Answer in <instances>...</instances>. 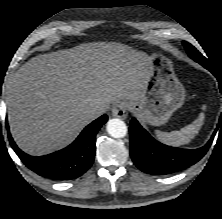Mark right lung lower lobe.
<instances>
[{"label":"right lung lower lobe","instance_id":"obj_1","mask_svg":"<svg viewBox=\"0 0 222 219\" xmlns=\"http://www.w3.org/2000/svg\"><path fill=\"white\" fill-rule=\"evenodd\" d=\"M107 120V115H102L84 128L68 147L45 156H30L21 151L13 141L9 129L8 138L13 150L29 169L53 180H70L78 178L91 167L96 152V134ZM6 125L8 128L7 121Z\"/></svg>","mask_w":222,"mask_h":219}]
</instances>
